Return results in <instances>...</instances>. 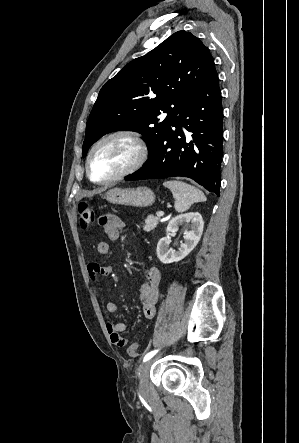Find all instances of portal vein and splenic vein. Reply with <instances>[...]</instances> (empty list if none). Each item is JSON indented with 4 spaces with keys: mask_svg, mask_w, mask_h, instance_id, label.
<instances>
[{
    "mask_svg": "<svg viewBox=\"0 0 299 443\" xmlns=\"http://www.w3.org/2000/svg\"><path fill=\"white\" fill-rule=\"evenodd\" d=\"M156 215H157V218H161V217H163L164 212H162V211L157 212Z\"/></svg>",
    "mask_w": 299,
    "mask_h": 443,
    "instance_id": "obj_1",
    "label": "portal vein and splenic vein"
}]
</instances>
